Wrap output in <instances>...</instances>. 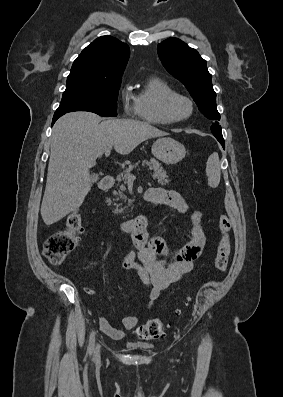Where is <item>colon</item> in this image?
<instances>
[{
	"label": "colon",
	"instance_id": "1",
	"mask_svg": "<svg viewBox=\"0 0 283 397\" xmlns=\"http://www.w3.org/2000/svg\"><path fill=\"white\" fill-rule=\"evenodd\" d=\"M220 240L215 258V269L223 273L229 263L231 221L226 214H221L218 220ZM82 231V217L79 211L71 212L65 222V227L52 234L45 242L44 256L52 263H61L76 247L79 234ZM165 324L160 319H152L136 329V335L142 340H157L164 335Z\"/></svg>",
	"mask_w": 283,
	"mask_h": 397
}]
</instances>
